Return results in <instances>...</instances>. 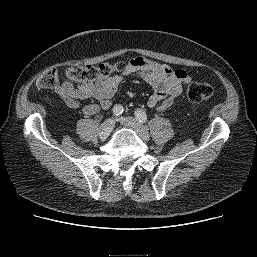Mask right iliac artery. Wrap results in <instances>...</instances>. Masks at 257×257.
Wrapping results in <instances>:
<instances>
[{"mask_svg": "<svg viewBox=\"0 0 257 257\" xmlns=\"http://www.w3.org/2000/svg\"><path fill=\"white\" fill-rule=\"evenodd\" d=\"M123 112V107L121 105H115L114 108H113V114L115 116H119L121 115Z\"/></svg>", "mask_w": 257, "mask_h": 257, "instance_id": "right-iliac-artery-1", "label": "right iliac artery"}]
</instances>
